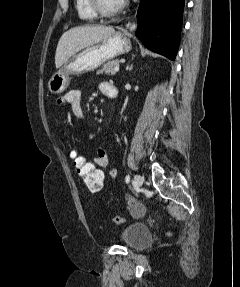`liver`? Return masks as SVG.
<instances>
[{
    "label": "liver",
    "mask_w": 240,
    "mask_h": 287,
    "mask_svg": "<svg viewBox=\"0 0 240 287\" xmlns=\"http://www.w3.org/2000/svg\"><path fill=\"white\" fill-rule=\"evenodd\" d=\"M115 32L112 26L84 25L66 31L60 38L56 53L55 66L61 67L71 56L81 49L97 44Z\"/></svg>",
    "instance_id": "6515ba94"
}]
</instances>
